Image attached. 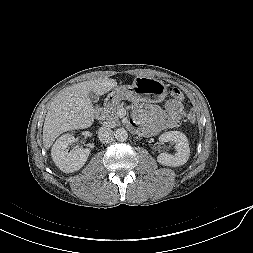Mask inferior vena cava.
I'll use <instances>...</instances> for the list:
<instances>
[{"mask_svg": "<svg viewBox=\"0 0 253 253\" xmlns=\"http://www.w3.org/2000/svg\"><path fill=\"white\" fill-rule=\"evenodd\" d=\"M98 137L102 143H110L114 137L113 130L106 126L101 127L98 132Z\"/></svg>", "mask_w": 253, "mask_h": 253, "instance_id": "obj_1", "label": "inferior vena cava"}]
</instances>
